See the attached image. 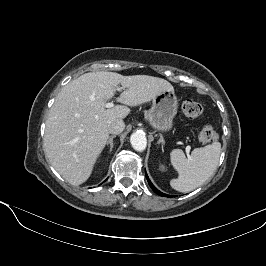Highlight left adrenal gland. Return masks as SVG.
Listing matches in <instances>:
<instances>
[{
    "label": "left adrenal gland",
    "mask_w": 266,
    "mask_h": 266,
    "mask_svg": "<svg viewBox=\"0 0 266 266\" xmlns=\"http://www.w3.org/2000/svg\"><path fill=\"white\" fill-rule=\"evenodd\" d=\"M160 139L158 140V144H162V146L165 144L164 138L162 136V134H159Z\"/></svg>",
    "instance_id": "1"
}]
</instances>
